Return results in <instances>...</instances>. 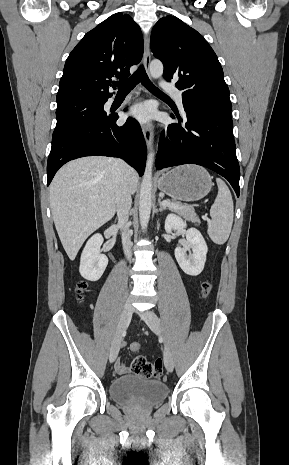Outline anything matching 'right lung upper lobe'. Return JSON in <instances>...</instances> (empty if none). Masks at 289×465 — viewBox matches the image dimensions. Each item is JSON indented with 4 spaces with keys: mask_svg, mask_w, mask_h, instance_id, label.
I'll list each match as a JSON object with an SVG mask.
<instances>
[{
    "mask_svg": "<svg viewBox=\"0 0 289 465\" xmlns=\"http://www.w3.org/2000/svg\"><path fill=\"white\" fill-rule=\"evenodd\" d=\"M140 27L132 17L111 15L89 31L66 60L57 105L77 100H107L111 78L124 80L143 55Z\"/></svg>",
    "mask_w": 289,
    "mask_h": 465,
    "instance_id": "obj_1",
    "label": "right lung upper lobe"
}]
</instances>
